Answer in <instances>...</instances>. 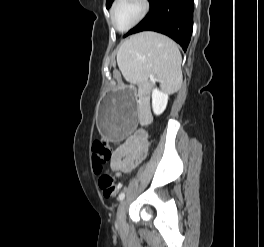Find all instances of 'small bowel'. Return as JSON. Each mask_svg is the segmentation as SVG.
<instances>
[{
  "label": "small bowel",
  "mask_w": 264,
  "mask_h": 247,
  "mask_svg": "<svg viewBox=\"0 0 264 247\" xmlns=\"http://www.w3.org/2000/svg\"><path fill=\"white\" fill-rule=\"evenodd\" d=\"M140 120L142 123L147 124L151 121V116L147 111H142ZM148 148L149 138L146 132L143 130L135 132L114 151L111 168L118 175L131 172L146 157Z\"/></svg>",
  "instance_id": "c3829d8e"
}]
</instances>
